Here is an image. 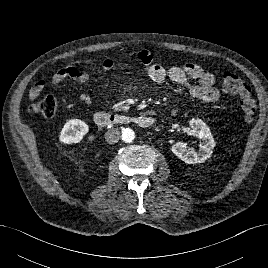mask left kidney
I'll list each match as a JSON object with an SVG mask.
<instances>
[{
	"label": "left kidney",
	"mask_w": 268,
	"mask_h": 268,
	"mask_svg": "<svg viewBox=\"0 0 268 268\" xmlns=\"http://www.w3.org/2000/svg\"><path fill=\"white\" fill-rule=\"evenodd\" d=\"M193 136L203 140L200 143L199 151L196 152L193 148H189L187 143L177 142L172 146V152L187 164L203 163L209 159L213 153V148L216 143L210 132V129L201 119H192L190 121Z\"/></svg>",
	"instance_id": "obj_1"
}]
</instances>
